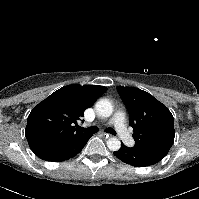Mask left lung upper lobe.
Segmentation results:
<instances>
[{"label":"left lung upper lobe","mask_w":199,"mask_h":199,"mask_svg":"<svg viewBox=\"0 0 199 199\" xmlns=\"http://www.w3.org/2000/svg\"><path fill=\"white\" fill-rule=\"evenodd\" d=\"M133 128L135 148L164 158L174 142V120L169 109L151 94L118 86Z\"/></svg>","instance_id":"1"}]
</instances>
